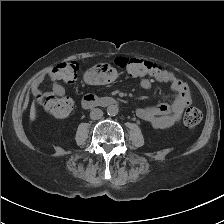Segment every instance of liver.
<instances>
[{
    "mask_svg": "<svg viewBox=\"0 0 224 224\" xmlns=\"http://www.w3.org/2000/svg\"><path fill=\"white\" fill-rule=\"evenodd\" d=\"M37 119V111L34 102L31 103L30 113H29V121L34 123Z\"/></svg>",
    "mask_w": 224,
    "mask_h": 224,
    "instance_id": "liver-1",
    "label": "liver"
}]
</instances>
